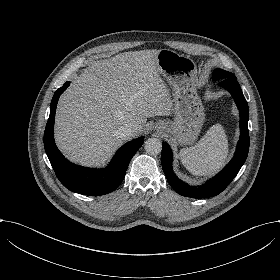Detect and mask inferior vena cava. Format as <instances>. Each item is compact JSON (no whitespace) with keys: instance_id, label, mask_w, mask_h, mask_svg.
Here are the masks:
<instances>
[{"instance_id":"602c4592","label":"inferior vena cava","mask_w":280,"mask_h":280,"mask_svg":"<svg viewBox=\"0 0 280 280\" xmlns=\"http://www.w3.org/2000/svg\"><path fill=\"white\" fill-rule=\"evenodd\" d=\"M136 130L137 129L123 126L118 130V138H121L122 140H129L135 136Z\"/></svg>"}]
</instances>
